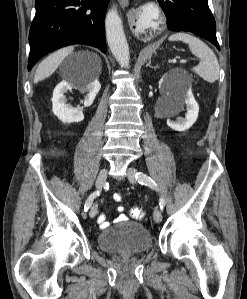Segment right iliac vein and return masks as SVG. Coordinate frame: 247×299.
I'll return each instance as SVG.
<instances>
[{
  "label": "right iliac vein",
  "mask_w": 247,
  "mask_h": 299,
  "mask_svg": "<svg viewBox=\"0 0 247 299\" xmlns=\"http://www.w3.org/2000/svg\"><path fill=\"white\" fill-rule=\"evenodd\" d=\"M108 171L107 169H103L100 171L97 180H96V188L98 190L102 189V187L105 185L106 179H107ZM98 207L96 204H94L89 212V215L91 218H94L97 214Z\"/></svg>",
  "instance_id": "obj_1"
}]
</instances>
